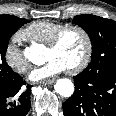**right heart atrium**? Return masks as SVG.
<instances>
[{
    "instance_id": "obj_1",
    "label": "right heart atrium",
    "mask_w": 116,
    "mask_h": 116,
    "mask_svg": "<svg viewBox=\"0 0 116 116\" xmlns=\"http://www.w3.org/2000/svg\"><path fill=\"white\" fill-rule=\"evenodd\" d=\"M22 40L23 38L20 33L16 34L8 42L3 52L6 65L18 74L25 73L30 67L28 60L20 48Z\"/></svg>"
}]
</instances>
